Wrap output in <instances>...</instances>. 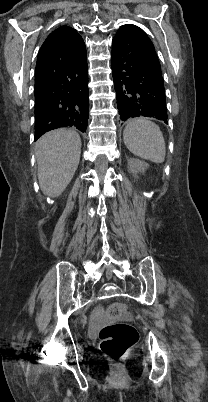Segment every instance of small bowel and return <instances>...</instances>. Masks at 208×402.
Listing matches in <instances>:
<instances>
[{
	"label": "small bowel",
	"mask_w": 208,
	"mask_h": 402,
	"mask_svg": "<svg viewBox=\"0 0 208 402\" xmlns=\"http://www.w3.org/2000/svg\"><path fill=\"white\" fill-rule=\"evenodd\" d=\"M107 312L104 309H93L91 311V323L94 324V327H97V324H105L107 321L106 318Z\"/></svg>",
	"instance_id": "obj_1"
}]
</instances>
